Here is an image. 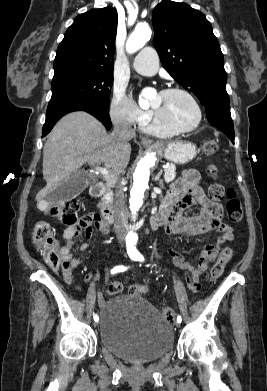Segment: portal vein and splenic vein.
Instances as JSON below:
<instances>
[{
  "label": "portal vein and splenic vein",
  "instance_id": "1",
  "mask_svg": "<svg viewBox=\"0 0 267 391\" xmlns=\"http://www.w3.org/2000/svg\"><path fill=\"white\" fill-rule=\"evenodd\" d=\"M163 168L166 169V168H168V166L164 165ZM94 170H95L96 173H100V174H102L104 176H107V177L111 176V173L106 168H103V167H100V166H95Z\"/></svg>",
  "mask_w": 267,
  "mask_h": 391
}]
</instances>
